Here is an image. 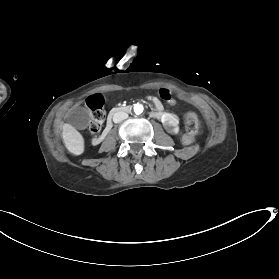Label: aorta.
<instances>
[{
	"label": "aorta",
	"instance_id": "obj_1",
	"mask_svg": "<svg viewBox=\"0 0 279 279\" xmlns=\"http://www.w3.org/2000/svg\"><path fill=\"white\" fill-rule=\"evenodd\" d=\"M143 106L141 104H135L134 105V112L136 114H141L143 112Z\"/></svg>",
	"mask_w": 279,
	"mask_h": 279
}]
</instances>
